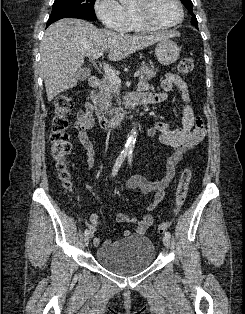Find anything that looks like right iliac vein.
I'll list each match as a JSON object with an SVG mask.
<instances>
[{
  "label": "right iliac vein",
  "mask_w": 245,
  "mask_h": 314,
  "mask_svg": "<svg viewBox=\"0 0 245 314\" xmlns=\"http://www.w3.org/2000/svg\"><path fill=\"white\" fill-rule=\"evenodd\" d=\"M90 235H87V236H85V238H84V244L86 245V246H88V244H89V241H90Z\"/></svg>",
  "instance_id": "63e3f726"
}]
</instances>
